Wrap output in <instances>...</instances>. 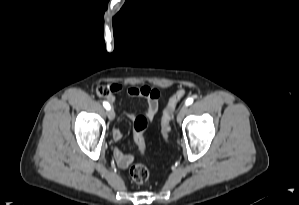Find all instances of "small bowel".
<instances>
[{"label":"small bowel","mask_w":299,"mask_h":205,"mask_svg":"<svg viewBox=\"0 0 299 205\" xmlns=\"http://www.w3.org/2000/svg\"><path fill=\"white\" fill-rule=\"evenodd\" d=\"M113 92H118L122 89L120 84L114 83L111 85ZM127 93L132 97H141L144 98L146 102V109L143 114H135L131 112H126L125 116L129 119L134 120L137 115H144L148 121H152L158 110V102L160 98V92L156 88L149 86L142 87H130L127 90ZM113 102V97L109 99ZM123 131L120 128H115L113 131V137L116 141H120L123 138ZM114 158L118 166L122 169L128 168L134 161V157L130 154L124 153L120 148H115Z\"/></svg>","instance_id":"c3829d8e"}]
</instances>
